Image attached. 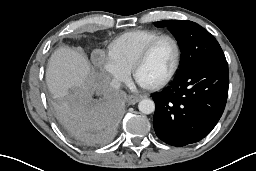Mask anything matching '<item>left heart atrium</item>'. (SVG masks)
<instances>
[{
	"mask_svg": "<svg viewBox=\"0 0 256 171\" xmlns=\"http://www.w3.org/2000/svg\"><path fill=\"white\" fill-rule=\"evenodd\" d=\"M140 85L144 86L142 83H140L139 81H137Z\"/></svg>",
	"mask_w": 256,
	"mask_h": 171,
	"instance_id": "39dd6f15",
	"label": "left heart atrium"
}]
</instances>
